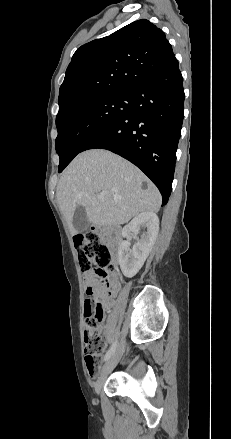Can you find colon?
Instances as JSON below:
<instances>
[{
  "label": "colon",
  "mask_w": 231,
  "mask_h": 439,
  "mask_svg": "<svg viewBox=\"0 0 231 439\" xmlns=\"http://www.w3.org/2000/svg\"><path fill=\"white\" fill-rule=\"evenodd\" d=\"M80 269L94 272L103 292H108L115 277V266L109 248L95 233L80 235L75 239ZM85 302V351L86 367L95 375L102 361L104 338L101 326L102 304L91 290Z\"/></svg>",
  "instance_id": "obj_1"
}]
</instances>
